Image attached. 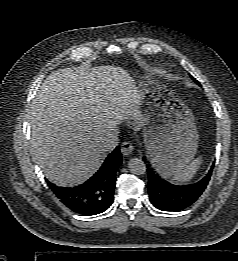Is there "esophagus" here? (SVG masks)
<instances>
[{
    "label": "esophagus",
    "mask_w": 238,
    "mask_h": 261,
    "mask_svg": "<svg viewBox=\"0 0 238 261\" xmlns=\"http://www.w3.org/2000/svg\"><path fill=\"white\" fill-rule=\"evenodd\" d=\"M133 151V146L129 142H123L121 145V153L123 156H129Z\"/></svg>",
    "instance_id": "esophagus-1"
}]
</instances>
